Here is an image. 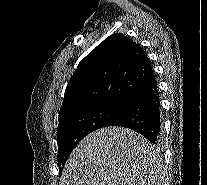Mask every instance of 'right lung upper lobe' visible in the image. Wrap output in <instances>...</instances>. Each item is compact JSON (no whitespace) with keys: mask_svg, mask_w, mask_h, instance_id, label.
<instances>
[{"mask_svg":"<svg viewBox=\"0 0 207 185\" xmlns=\"http://www.w3.org/2000/svg\"><path fill=\"white\" fill-rule=\"evenodd\" d=\"M154 81L142 47L121 33L112 34L78 64L66 87L58 119L103 104L122 107Z\"/></svg>","mask_w":207,"mask_h":185,"instance_id":"cb5924a9","label":"right lung upper lobe"}]
</instances>
